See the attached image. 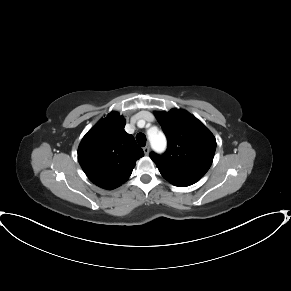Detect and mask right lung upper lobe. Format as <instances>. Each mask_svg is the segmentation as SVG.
Returning <instances> with one entry per match:
<instances>
[{
    "label": "right lung upper lobe",
    "instance_id": "right-lung-upper-lobe-1",
    "mask_svg": "<svg viewBox=\"0 0 291 291\" xmlns=\"http://www.w3.org/2000/svg\"><path fill=\"white\" fill-rule=\"evenodd\" d=\"M125 119L111 112L83 137L78 161L97 186L112 190L131 175L136 161L144 156L134 137L125 132Z\"/></svg>",
    "mask_w": 291,
    "mask_h": 291
}]
</instances>
